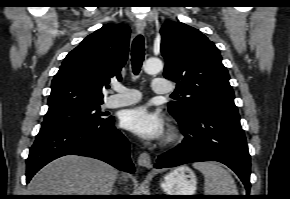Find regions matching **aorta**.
Instances as JSON below:
<instances>
[{
    "label": "aorta",
    "instance_id": "aorta-1",
    "mask_svg": "<svg viewBox=\"0 0 290 199\" xmlns=\"http://www.w3.org/2000/svg\"><path fill=\"white\" fill-rule=\"evenodd\" d=\"M147 74H157L163 69V62L159 58H149L143 65Z\"/></svg>",
    "mask_w": 290,
    "mask_h": 199
}]
</instances>
